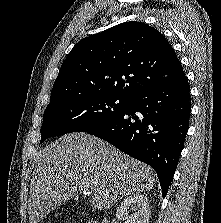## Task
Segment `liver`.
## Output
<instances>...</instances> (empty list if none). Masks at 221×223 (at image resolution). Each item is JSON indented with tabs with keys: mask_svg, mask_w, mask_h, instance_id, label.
<instances>
[{
	"mask_svg": "<svg viewBox=\"0 0 221 223\" xmlns=\"http://www.w3.org/2000/svg\"><path fill=\"white\" fill-rule=\"evenodd\" d=\"M84 183L90 204L108 209L123 197L152 189V169L89 134L71 133L39 151L30 184L29 223H38Z\"/></svg>",
	"mask_w": 221,
	"mask_h": 223,
	"instance_id": "1",
	"label": "liver"
}]
</instances>
